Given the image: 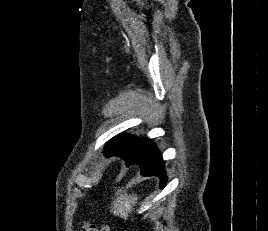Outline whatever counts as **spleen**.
<instances>
[{
    "label": "spleen",
    "instance_id": "1",
    "mask_svg": "<svg viewBox=\"0 0 268 231\" xmlns=\"http://www.w3.org/2000/svg\"><path fill=\"white\" fill-rule=\"evenodd\" d=\"M124 192V193H123ZM122 192V189H119L116 193V199L111 207V211L115 216H120L124 220H127L129 213L132 212L133 206L136 205L138 197L137 195H128L125 191Z\"/></svg>",
    "mask_w": 268,
    "mask_h": 231
}]
</instances>
